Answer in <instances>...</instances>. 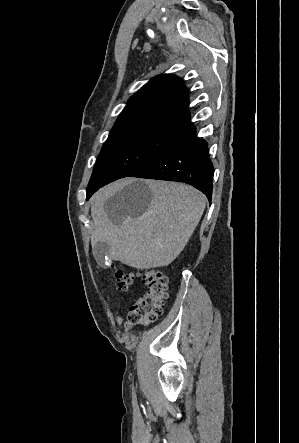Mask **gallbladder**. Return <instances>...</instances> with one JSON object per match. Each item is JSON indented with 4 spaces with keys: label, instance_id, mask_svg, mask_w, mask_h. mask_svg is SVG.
Instances as JSON below:
<instances>
[{
    "label": "gallbladder",
    "instance_id": "obj_1",
    "mask_svg": "<svg viewBox=\"0 0 299 443\" xmlns=\"http://www.w3.org/2000/svg\"><path fill=\"white\" fill-rule=\"evenodd\" d=\"M110 245L107 242L100 241L93 246V255L100 266L105 264V256L108 254Z\"/></svg>",
    "mask_w": 299,
    "mask_h": 443
}]
</instances>
